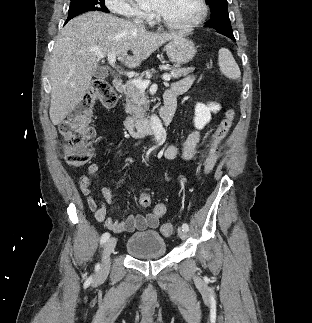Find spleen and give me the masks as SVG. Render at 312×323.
<instances>
[{"label": "spleen", "instance_id": "3e777b00", "mask_svg": "<svg viewBox=\"0 0 312 323\" xmlns=\"http://www.w3.org/2000/svg\"><path fill=\"white\" fill-rule=\"evenodd\" d=\"M218 64L221 72L224 76H227L229 80H237L240 78L241 72L239 66H237L231 52L227 48H221L218 52Z\"/></svg>", "mask_w": 312, "mask_h": 323}]
</instances>
